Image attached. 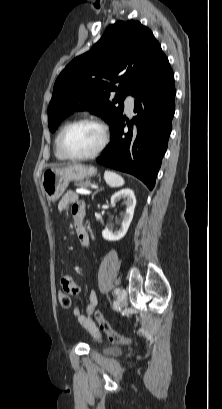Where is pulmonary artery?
I'll list each match as a JSON object with an SVG mask.
<instances>
[{"mask_svg": "<svg viewBox=\"0 0 222 409\" xmlns=\"http://www.w3.org/2000/svg\"><path fill=\"white\" fill-rule=\"evenodd\" d=\"M125 107L128 113H132L134 107V100L131 96H127L125 99Z\"/></svg>", "mask_w": 222, "mask_h": 409, "instance_id": "pulmonary-artery-1", "label": "pulmonary artery"}]
</instances>
